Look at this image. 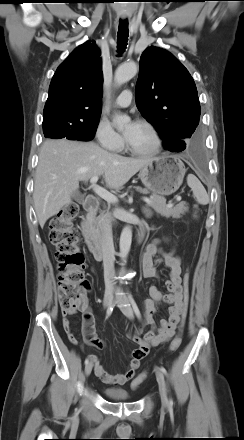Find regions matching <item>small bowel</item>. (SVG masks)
Wrapping results in <instances>:
<instances>
[{"label":"small bowel","instance_id":"obj_1","mask_svg":"<svg viewBox=\"0 0 244 440\" xmlns=\"http://www.w3.org/2000/svg\"><path fill=\"white\" fill-rule=\"evenodd\" d=\"M147 214H149V211H147ZM162 241L163 239L156 238L146 247L143 255V272L146 277L157 278V265L163 263L168 267L170 270V279L166 281L168 293H163L155 285L150 287L149 292L151 298L143 302V313L144 324L149 325L151 330L146 333L144 337H140V328H136L133 332L128 334V337L138 344L139 347L146 346L148 349L151 346H158L165 343L175 335L176 328L180 322L183 299L181 261L173 251L166 252L161 248L160 244ZM162 304L169 305L168 317L162 318L159 321V326H156L154 315ZM63 327L69 340L73 344H76L77 338L71 331L70 322L66 317L63 319ZM82 335L88 345L97 349L104 348V341L96 334L95 318L90 310L85 311L82 316ZM135 351L136 349L131 353L127 371L122 374L108 373L101 365L97 355L90 354L88 357L94 366L96 376L104 383L124 385L134 378L136 370L140 365V360L142 359L136 355Z\"/></svg>","mask_w":244,"mask_h":440}]
</instances>
